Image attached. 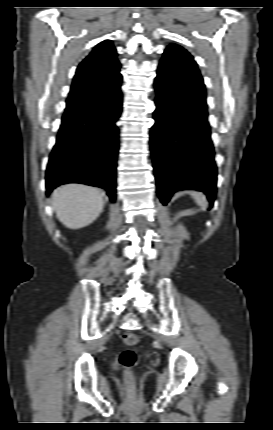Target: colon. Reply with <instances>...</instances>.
Returning a JSON list of instances; mask_svg holds the SVG:
<instances>
[{
  "label": "colon",
  "instance_id": "obj_1",
  "mask_svg": "<svg viewBox=\"0 0 273 430\" xmlns=\"http://www.w3.org/2000/svg\"><path fill=\"white\" fill-rule=\"evenodd\" d=\"M124 343L128 346H134L138 343V337L131 332H126L122 335ZM137 353L133 349H125L119 357V362L124 370V377L127 385L130 387L134 380L133 367L136 364Z\"/></svg>",
  "mask_w": 273,
  "mask_h": 430
}]
</instances>
